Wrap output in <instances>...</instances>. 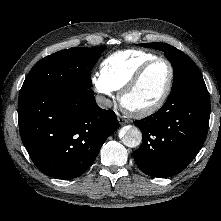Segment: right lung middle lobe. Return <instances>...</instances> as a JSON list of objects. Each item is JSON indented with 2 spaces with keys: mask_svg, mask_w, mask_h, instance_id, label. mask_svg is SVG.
<instances>
[{
  "mask_svg": "<svg viewBox=\"0 0 221 221\" xmlns=\"http://www.w3.org/2000/svg\"><path fill=\"white\" fill-rule=\"evenodd\" d=\"M106 46L58 51L37 62L27 75L19 96L49 91H82L92 86L91 69Z\"/></svg>",
  "mask_w": 221,
  "mask_h": 221,
  "instance_id": "1",
  "label": "right lung middle lobe"
}]
</instances>
